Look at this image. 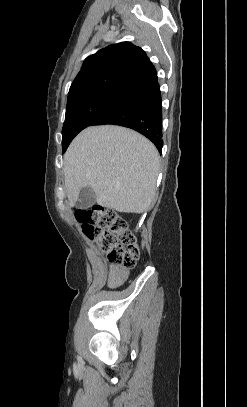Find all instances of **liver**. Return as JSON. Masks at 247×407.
Masks as SVG:
<instances>
[{"mask_svg":"<svg viewBox=\"0 0 247 407\" xmlns=\"http://www.w3.org/2000/svg\"><path fill=\"white\" fill-rule=\"evenodd\" d=\"M159 154L141 134L120 126L88 127L72 141L64 156L69 205L91 187L99 205L118 212H145L156 191Z\"/></svg>","mask_w":247,"mask_h":407,"instance_id":"1","label":"liver"}]
</instances>
